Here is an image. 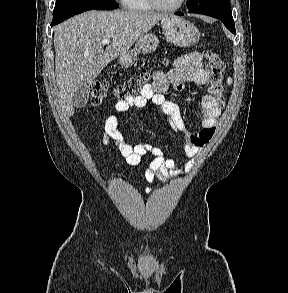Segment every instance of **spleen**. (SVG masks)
I'll return each instance as SVG.
<instances>
[{
    "label": "spleen",
    "mask_w": 288,
    "mask_h": 293,
    "mask_svg": "<svg viewBox=\"0 0 288 293\" xmlns=\"http://www.w3.org/2000/svg\"><path fill=\"white\" fill-rule=\"evenodd\" d=\"M227 83H228V84H231V83H232V79H231V78H228V79H227Z\"/></svg>",
    "instance_id": "3e777b00"
}]
</instances>
